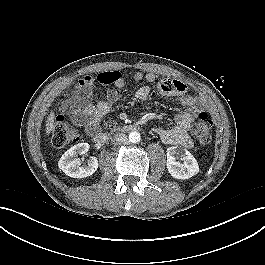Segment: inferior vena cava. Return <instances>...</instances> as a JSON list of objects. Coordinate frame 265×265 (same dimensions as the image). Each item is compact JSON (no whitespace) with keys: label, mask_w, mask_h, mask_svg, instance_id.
Listing matches in <instances>:
<instances>
[{"label":"inferior vena cava","mask_w":265,"mask_h":265,"mask_svg":"<svg viewBox=\"0 0 265 265\" xmlns=\"http://www.w3.org/2000/svg\"><path fill=\"white\" fill-rule=\"evenodd\" d=\"M111 143L113 145H123L127 143V136L124 133L115 134L112 139Z\"/></svg>","instance_id":"602c4592"}]
</instances>
